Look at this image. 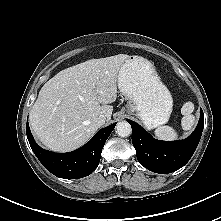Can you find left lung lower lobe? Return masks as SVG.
<instances>
[{"label":"left lung lower lobe","instance_id":"1","mask_svg":"<svg viewBox=\"0 0 221 221\" xmlns=\"http://www.w3.org/2000/svg\"><path fill=\"white\" fill-rule=\"evenodd\" d=\"M127 121L132 127V143L138 161L150 171L160 174L174 172L187 164L198 146L204 127L201 109L199 123L188 138L166 142L154 139L140 125Z\"/></svg>","mask_w":221,"mask_h":221}]
</instances>
